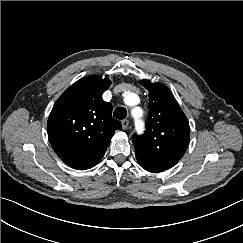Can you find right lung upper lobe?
<instances>
[{"label":"right lung upper lobe","instance_id":"cb5924a9","mask_svg":"<svg viewBox=\"0 0 243 243\" xmlns=\"http://www.w3.org/2000/svg\"><path fill=\"white\" fill-rule=\"evenodd\" d=\"M111 82L84 77L55 102L48 118V137L56 154L69 167L85 170L103 157L115 130L122 128L112 117V105L102 94Z\"/></svg>","mask_w":243,"mask_h":243}]
</instances>
